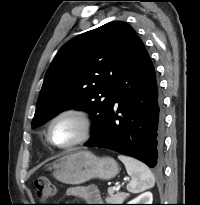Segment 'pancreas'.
Here are the masks:
<instances>
[{
  "label": "pancreas",
  "instance_id": "1",
  "mask_svg": "<svg viewBox=\"0 0 200 205\" xmlns=\"http://www.w3.org/2000/svg\"><path fill=\"white\" fill-rule=\"evenodd\" d=\"M128 196L129 194L125 192H117L116 194H114V190L112 188H109L106 202L109 204H122Z\"/></svg>",
  "mask_w": 200,
  "mask_h": 205
}]
</instances>
